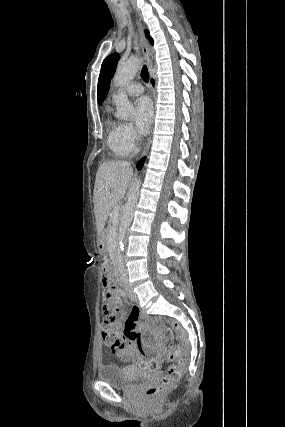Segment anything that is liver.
Returning <instances> with one entry per match:
<instances>
[{
	"label": "liver",
	"instance_id": "obj_1",
	"mask_svg": "<svg viewBox=\"0 0 285 427\" xmlns=\"http://www.w3.org/2000/svg\"><path fill=\"white\" fill-rule=\"evenodd\" d=\"M133 176L129 162L110 161L98 168L94 185V214L98 233H102L108 216L123 198Z\"/></svg>",
	"mask_w": 285,
	"mask_h": 427
}]
</instances>
